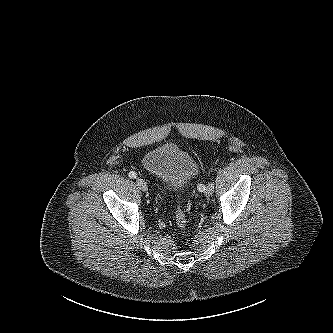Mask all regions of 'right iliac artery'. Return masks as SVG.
Returning <instances> with one entry per match:
<instances>
[{
  "instance_id": "obj_1",
  "label": "right iliac artery",
  "mask_w": 333,
  "mask_h": 333,
  "mask_svg": "<svg viewBox=\"0 0 333 333\" xmlns=\"http://www.w3.org/2000/svg\"><path fill=\"white\" fill-rule=\"evenodd\" d=\"M128 176L132 179H135L137 177V174L134 171H130Z\"/></svg>"
}]
</instances>
